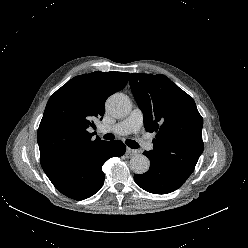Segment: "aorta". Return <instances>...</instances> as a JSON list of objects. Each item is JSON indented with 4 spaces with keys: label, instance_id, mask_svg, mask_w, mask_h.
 Returning <instances> with one entry per match:
<instances>
[{
    "label": "aorta",
    "instance_id": "aorta-1",
    "mask_svg": "<svg viewBox=\"0 0 248 248\" xmlns=\"http://www.w3.org/2000/svg\"><path fill=\"white\" fill-rule=\"evenodd\" d=\"M107 111L116 118L126 117L131 111V103L127 96L114 94L106 102ZM150 161L143 154H136L130 160V168L136 174H144L149 170Z\"/></svg>",
    "mask_w": 248,
    "mask_h": 248
}]
</instances>
